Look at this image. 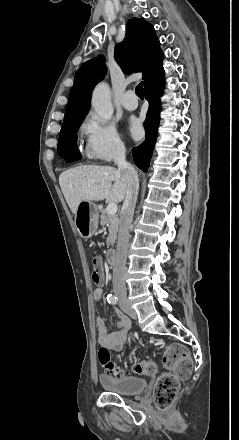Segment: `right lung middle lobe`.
Returning a JSON list of instances; mask_svg holds the SVG:
<instances>
[{
	"instance_id": "obj_1",
	"label": "right lung middle lobe",
	"mask_w": 239,
	"mask_h": 440,
	"mask_svg": "<svg viewBox=\"0 0 239 440\" xmlns=\"http://www.w3.org/2000/svg\"><path fill=\"white\" fill-rule=\"evenodd\" d=\"M86 115L77 117L69 122L63 124L58 143V153L61 154L63 151L70 148L76 147L77 134L76 131L80 127L82 121Z\"/></svg>"
}]
</instances>
